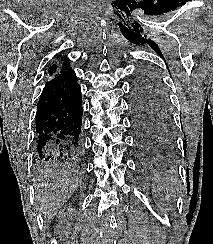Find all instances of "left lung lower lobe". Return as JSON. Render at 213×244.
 Segmentation results:
<instances>
[{
  "mask_svg": "<svg viewBox=\"0 0 213 244\" xmlns=\"http://www.w3.org/2000/svg\"><path fill=\"white\" fill-rule=\"evenodd\" d=\"M132 122L137 151L145 157H155L163 149L165 140L144 119L132 114Z\"/></svg>",
  "mask_w": 213,
  "mask_h": 244,
  "instance_id": "left-lung-lower-lobe-1",
  "label": "left lung lower lobe"
}]
</instances>
